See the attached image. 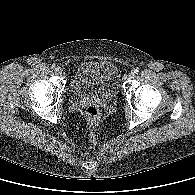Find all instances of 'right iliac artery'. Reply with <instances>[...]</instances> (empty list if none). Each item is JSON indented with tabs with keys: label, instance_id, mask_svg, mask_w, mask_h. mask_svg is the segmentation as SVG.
I'll return each mask as SVG.
<instances>
[{
	"label": "right iliac artery",
	"instance_id": "1",
	"mask_svg": "<svg viewBox=\"0 0 195 195\" xmlns=\"http://www.w3.org/2000/svg\"><path fill=\"white\" fill-rule=\"evenodd\" d=\"M51 68L54 70V69H56V66H55V65H52V67H51Z\"/></svg>",
	"mask_w": 195,
	"mask_h": 195
}]
</instances>
